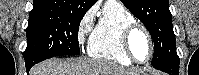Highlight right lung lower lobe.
Instances as JSON below:
<instances>
[{
  "label": "right lung lower lobe",
  "instance_id": "right-lung-lower-lobe-1",
  "mask_svg": "<svg viewBox=\"0 0 199 75\" xmlns=\"http://www.w3.org/2000/svg\"><path fill=\"white\" fill-rule=\"evenodd\" d=\"M35 64H36L35 61H31V60L25 59L26 71L29 72V70L31 69V67L33 65H35Z\"/></svg>",
  "mask_w": 199,
  "mask_h": 75
}]
</instances>
